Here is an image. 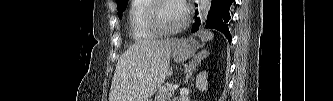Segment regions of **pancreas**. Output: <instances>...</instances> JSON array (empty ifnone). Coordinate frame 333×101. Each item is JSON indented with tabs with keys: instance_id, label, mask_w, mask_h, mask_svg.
Here are the masks:
<instances>
[{
	"instance_id": "cf45deb5",
	"label": "pancreas",
	"mask_w": 333,
	"mask_h": 101,
	"mask_svg": "<svg viewBox=\"0 0 333 101\" xmlns=\"http://www.w3.org/2000/svg\"><path fill=\"white\" fill-rule=\"evenodd\" d=\"M168 87H161L158 90V93L155 96V101H169L172 95L174 94L173 91H169Z\"/></svg>"
}]
</instances>
